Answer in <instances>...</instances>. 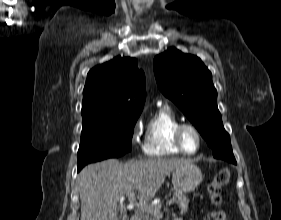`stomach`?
Wrapping results in <instances>:
<instances>
[{"label": "stomach", "mask_w": 281, "mask_h": 220, "mask_svg": "<svg viewBox=\"0 0 281 220\" xmlns=\"http://www.w3.org/2000/svg\"><path fill=\"white\" fill-rule=\"evenodd\" d=\"M202 182V173L199 167L190 164L173 171V186L184 193L194 191Z\"/></svg>", "instance_id": "stomach-1"}]
</instances>
